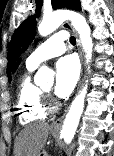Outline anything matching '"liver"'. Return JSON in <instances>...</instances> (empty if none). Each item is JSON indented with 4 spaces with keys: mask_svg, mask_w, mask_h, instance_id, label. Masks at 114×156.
<instances>
[{
    "mask_svg": "<svg viewBox=\"0 0 114 156\" xmlns=\"http://www.w3.org/2000/svg\"><path fill=\"white\" fill-rule=\"evenodd\" d=\"M51 126L46 122H35L25 127L14 145V156H39Z\"/></svg>",
    "mask_w": 114,
    "mask_h": 156,
    "instance_id": "obj_1",
    "label": "liver"
}]
</instances>
